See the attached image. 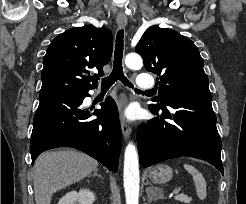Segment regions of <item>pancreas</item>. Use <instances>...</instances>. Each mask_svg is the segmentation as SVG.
Here are the masks:
<instances>
[{
  "instance_id": "cf45deb5",
  "label": "pancreas",
  "mask_w": 246,
  "mask_h": 204,
  "mask_svg": "<svg viewBox=\"0 0 246 204\" xmlns=\"http://www.w3.org/2000/svg\"><path fill=\"white\" fill-rule=\"evenodd\" d=\"M175 198H176V200L182 201L184 203H190L191 202V198L188 197L187 195L181 194V195H177Z\"/></svg>"
}]
</instances>
